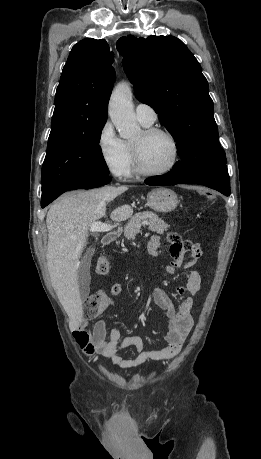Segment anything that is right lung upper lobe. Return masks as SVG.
Returning <instances> with one entry per match:
<instances>
[{"instance_id": "right-lung-upper-lobe-1", "label": "right lung upper lobe", "mask_w": 261, "mask_h": 459, "mask_svg": "<svg viewBox=\"0 0 261 459\" xmlns=\"http://www.w3.org/2000/svg\"><path fill=\"white\" fill-rule=\"evenodd\" d=\"M112 62L103 39H84L72 48L57 87L50 136L106 123L115 81Z\"/></svg>"}]
</instances>
